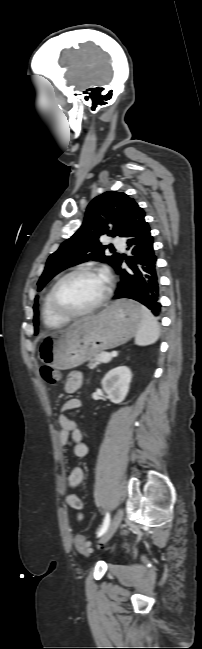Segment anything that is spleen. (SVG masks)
<instances>
[{"label":"spleen","instance_id":"1","mask_svg":"<svg viewBox=\"0 0 202 649\" xmlns=\"http://www.w3.org/2000/svg\"><path fill=\"white\" fill-rule=\"evenodd\" d=\"M142 322L135 336V343L146 346L156 342L159 338V325L151 311L141 306Z\"/></svg>","mask_w":202,"mask_h":649}]
</instances>
